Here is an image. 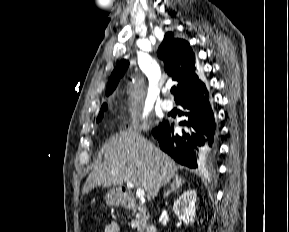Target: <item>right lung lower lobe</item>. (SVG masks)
Wrapping results in <instances>:
<instances>
[{
    "label": "right lung lower lobe",
    "instance_id": "1",
    "mask_svg": "<svg viewBox=\"0 0 289 232\" xmlns=\"http://www.w3.org/2000/svg\"><path fill=\"white\" fill-rule=\"evenodd\" d=\"M186 120L180 125L186 128L174 133L168 122L161 123L153 130L160 148L178 163L189 168H198L211 162L217 152L218 126L211 107L209 92L188 96L179 102Z\"/></svg>",
    "mask_w": 289,
    "mask_h": 232
}]
</instances>
